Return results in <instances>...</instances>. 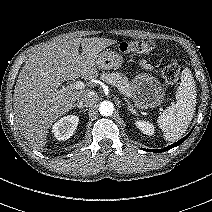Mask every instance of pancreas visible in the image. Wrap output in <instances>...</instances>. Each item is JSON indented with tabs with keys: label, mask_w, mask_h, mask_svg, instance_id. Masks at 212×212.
<instances>
[{
	"label": "pancreas",
	"mask_w": 212,
	"mask_h": 212,
	"mask_svg": "<svg viewBox=\"0 0 212 212\" xmlns=\"http://www.w3.org/2000/svg\"><path fill=\"white\" fill-rule=\"evenodd\" d=\"M101 79L117 87L124 94H129L130 92V84L127 78L120 75V73H103Z\"/></svg>",
	"instance_id": "1"
}]
</instances>
